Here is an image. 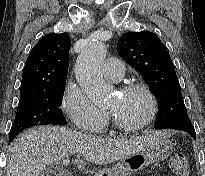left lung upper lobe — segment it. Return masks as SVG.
Instances as JSON below:
<instances>
[{"label": "left lung upper lobe", "mask_w": 205, "mask_h": 176, "mask_svg": "<svg viewBox=\"0 0 205 176\" xmlns=\"http://www.w3.org/2000/svg\"><path fill=\"white\" fill-rule=\"evenodd\" d=\"M117 52L142 75L158 99L156 129L191 123L174 64L156 34L149 31L126 33L118 41Z\"/></svg>", "instance_id": "obj_1"}]
</instances>
